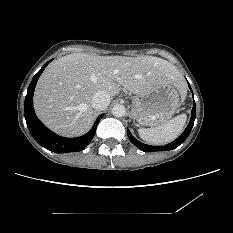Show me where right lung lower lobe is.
Here are the masks:
<instances>
[{"label":"right lung lower lobe","instance_id":"98d812e1","mask_svg":"<svg viewBox=\"0 0 233 233\" xmlns=\"http://www.w3.org/2000/svg\"><path fill=\"white\" fill-rule=\"evenodd\" d=\"M51 61L52 59L40 69L29 85L24 104V116L27 127L33 138L41 146L52 152L65 153L81 151L91 142L92 138L94 137L97 125L100 119L103 117V114L98 116L92 129L87 134L76 138H65L58 136L42 124V122L37 118L33 108V94L40 75Z\"/></svg>","mask_w":233,"mask_h":233}]
</instances>
